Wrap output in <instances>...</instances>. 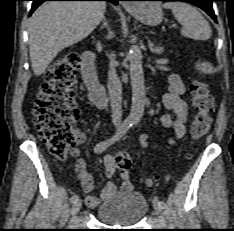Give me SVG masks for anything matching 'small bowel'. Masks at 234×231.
Here are the masks:
<instances>
[{
  "mask_svg": "<svg viewBox=\"0 0 234 231\" xmlns=\"http://www.w3.org/2000/svg\"><path fill=\"white\" fill-rule=\"evenodd\" d=\"M185 92V86L177 74H171L169 76V91L163 95L162 101L164 107L168 112L161 116L160 123L164 128L172 127L174 130L173 138L170 140L174 142L177 139L184 137L186 133V123L188 120V107L186 102L182 99V95ZM76 146L72 149V156L77 159L76 172L80 179V186L86 196V203L89 207H97L102 201H106L112 197L117 191L118 186L113 182H108L101 191L100 196L92 195L94 190V179L91 174L86 170L85 163L79 158V148L85 140V135L75 130ZM141 144L148 146V137L146 134H142L140 137ZM105 172L108 178H111L116 171L115 157L110 153L104 155ZM122 176L121 190L127 191L131 189V182L127 176Z\"/></svg>",
  "mask_w": 234,
  "mask_h": 231,
  "instance_id": "small-bowel-1",
  "label": "small bowel"
}]
</instances>
